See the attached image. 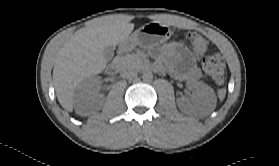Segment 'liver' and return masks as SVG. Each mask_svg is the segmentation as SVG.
I'll list each match as a JSON object with an SVG mask.
<instances>
[{"instance_id":"liver-1","label":"liver","mask_w":279,"mask_h":166,"mask_svg":"<svg viewBox=\"0 0 279 166\" xmlns=\"http://www.w3.org/2000/svg\"><path fill=\"white\" fill-rule=\"evenodd\" d=\"M134 29L124 15L104 16L77 30L59 49L53 82L60 105L73 111L76 87L86 78L101 73L107 65L103 50L123 42Z\"/></svg>"}]
</instances>
